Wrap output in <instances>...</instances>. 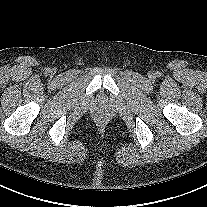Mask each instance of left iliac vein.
I'll return each mask as SVG.
<instances>
[{"label":"left iliac vein","mask_w":207,"mask_h":207,"mask_svg":"<svg viewBox=\"0 0 207 207\" xmlns=\"http://www.w3.org/2000/svg\"><path fill=\"white\" fill-rule=\"evenodd\" d=\"M155 77V74L154 73H150V78H154Z\"/></svg>","instance_id":"1"}]
</instances>
